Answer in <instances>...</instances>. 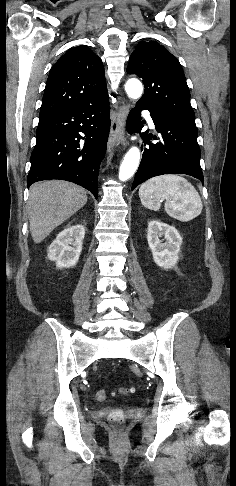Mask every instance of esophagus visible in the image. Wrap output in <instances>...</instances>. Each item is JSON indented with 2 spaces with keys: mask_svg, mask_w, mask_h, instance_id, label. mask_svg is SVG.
Wrapping results in <instances>:
<instances>
[{
  "mask_svg": "<svg viewBox=\"0 0 236 486\" xmlns=\"http://www.w3.org/2000/svg\"><path fill=\"white\" fill-rule=\"evenodd\" d=\"M128 112L129 105L122 102L117 111L113 114L107 147L108 152H111L115 146L125 143V124Z\"/></svg>",
  "mask_w": 236,
  "mask_h": 486,
  "instance_id": "1",
  "label": "esophagus"
}]
</instances>
